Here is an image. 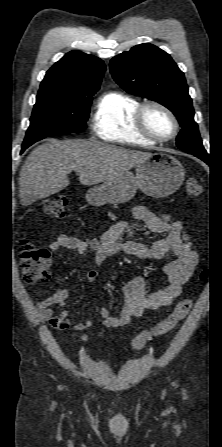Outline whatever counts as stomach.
Masks as SVG:
<instances>
[{"label": "stomach", "mask_w": 222, "mask_h": 447, "mask_svg": "<svg viewBox=\"0 0 222 447\" xmlns=\"http://www.w3.org/2000/svg\"><path fill=\"white\" fill-rule=\"evenodd\" d=\"M184 176L185 169L176 158L165 153H153L136 165L135 175L126 171L90 188L86 200L93 206L124 203L131 200L138 189L148 196L162 198L177 191Z\"/></svg>", "instance_id": "1"}]
</instances>
